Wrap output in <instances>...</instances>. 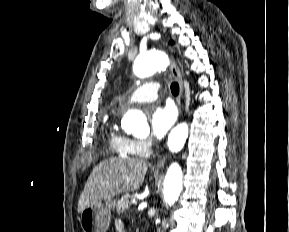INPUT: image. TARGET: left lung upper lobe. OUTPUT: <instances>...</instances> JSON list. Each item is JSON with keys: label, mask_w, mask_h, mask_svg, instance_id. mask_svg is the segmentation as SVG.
I'll use <instances>...</instances> for the list:
<instances>
[{"label": "left lung upper lobe", "mask_w": 289, "mask_h": 232, "mask_svg": "<svg viewBox=\"0 0 289 232\" xmlns=\"http://www.w3.org/2000/svg\"><path fill=\"white\" fill-rule=\"evenodd\" d=\"M170 43H171V44H173L174 42H173V41H171Z\"/></svg>", "instance_id": "left-lung-upper-lobe-1"}]
</instances>
